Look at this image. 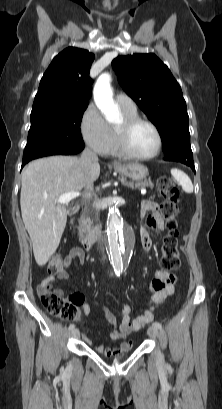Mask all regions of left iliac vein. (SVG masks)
<instances>
[{
	"label": "left iliac vein",
	"mask_w": 222,
	"mask_h": 409,
	"mask_svg": "<svg viewBox=\"0 0 222 409\" xmlns=\"http://www.w3.org/2000/svg\"><path fill=\"white\" fill-rule=\"evenodd\" d=\"M148 335H149L150 337H152V338H157L158 335H159L158 328H157L156 326H154V325L150 326V327L148 328Z\"/></svg>",
	"instance_id": "1"
}]
</instances>
